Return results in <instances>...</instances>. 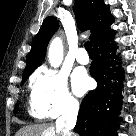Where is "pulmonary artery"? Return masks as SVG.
<instances>
[{
  "label": "pulmonary artery",
  "instance_id": "1",
  "mask_svg": "<svg viewBox=\"0 0 136 136\" xmlns=\"http://www.w3.org/2000/svg\"><path fill=\"white\" fill-rule=\"evenodd\" d=\"M76 59L80 64H88L89 63V56L84 48H80L77 51Z\"/></svg>",
  "mask_w": 136,
  "mask_h": 136
}]
</instances>
